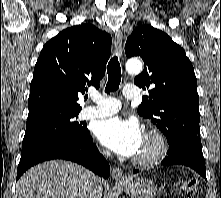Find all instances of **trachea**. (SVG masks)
Masks as SVG:
<instances>
[{
  "label": "trachea",
  "instance_id": "trachea-1",
  "mask_svg": "<svg viewBox=\"0 0 221 198\" xmlns=\"http://www.w3.org/2000/svg\"><path fill=\"white\" fill-rule=\"evenodd\" d=\"M107 73L108 83L106 85L105 92L110 93L111 91L117 90L121 82V67L117 56L112 57L109 61Z\"/></svg>",
  "mask_w": 221,
  "mask_h": 198
}]
</instances>
